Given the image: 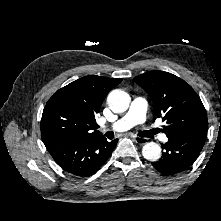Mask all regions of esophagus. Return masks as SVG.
<instances>
[{"mask_svg": "<svg viewBox=\"0 0 221 221\" xmlns=\"http://www.w3.org/2000/svg\"><path fill=\"white\" fill-rule=\"evenodd\" d=\"M133 140L139 145H143L147 143V138H144V137H134Z\"/></svg>", "mask_w": 221, "mask_h": 221, "instance_id": "esophagus-1", "label": "esophagus"}]
</instances>
